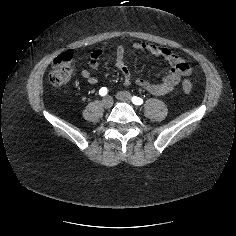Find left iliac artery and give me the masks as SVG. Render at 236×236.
<instances>
[{
	"instance_id": "obj_1",
	"label": "left iliac artery",
	"mask_w": 236,
	"mask_h": 236,
	"mask_svg": "<svg viewBox=\"0 0 236 236\" xmlns=\"http://www.w3.org/2000/svg\"><path fill=\"white\" fill-rule=\"evenodd\" d=\"M131 100H132L133 104H135V105L143 104V99L140 97L133 96Z\"/></svg>"
}]
</instances>
